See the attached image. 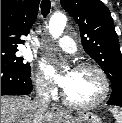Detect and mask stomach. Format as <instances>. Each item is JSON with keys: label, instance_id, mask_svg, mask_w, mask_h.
Here are the masks:
<instances>
[{"label": "stomach", "instance_id": "0dacf381", "mask_svg": "<svg viewBox=\"0 0 122 123\" xmlns=\"http://www.w3.org/2000/svg\"><path fill=\"white\" fill-rule=\"evenodd\" d=\"M61 123H102L101 118L88 110H82L77 113L76 117L70 115L60 118Z\"/></svg>", "mask_w": 122, "mask_h": 123}]
</instances>
